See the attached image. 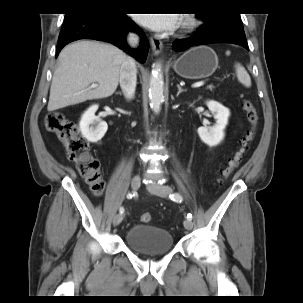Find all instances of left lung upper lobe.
Here are the masks:
<instances>
[{
	"label": "left lung upper lobe",
	"instance_id": "5c2ea615",
	"mask_svg": "<svg viewBox=\"0 0 303 303\" xmlns=\"http://www.w3.org/2000/svg\"><path fill=\"white\" fill-rule=\"evenodd\" d=\"M196 17H203L205 19L206 24L204 26L207 29H243L240 14L238 13L216 12L197 15Z\"/></svg>",
	"mask_w": 303,
	"mask_h": 303
}]
</instances>
